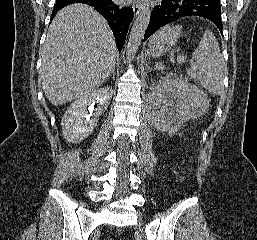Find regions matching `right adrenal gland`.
<instances>
[{"mask_svg": "<svg viewBox=\"0 0 257 240\" xmlns=\"http://www.w3.org/2000/svg\"><path fill=\"white\" fill-rule=\"evenodd\" d=\"M110 77H112L113 79H115V69L111 72V74L107 77L106 80H108Z\"/></svg>", "mask_w": 257, "mask_h": 240, "instance_id": "1", "label": "right adrenal gland"}]
</instances>
